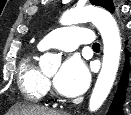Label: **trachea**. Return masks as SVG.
I'll use <instances>...</instances> for the list:
<instances>
[{
	"mask_svg": "<svg viewBox=\"0 0 131 115\" xmlns=\"http://www.w3.org/2000/svg\"><path fill=\"white\" fill-rule=\"evenodd\" d=\"M93 49H100V44L99 43H94L93 44Z\"/></svg>",
	"mask_w": 131,
	"mask_h": 115,
	"instance_id": "obj_1",
	"label": "trachea"
}]
</instances>
